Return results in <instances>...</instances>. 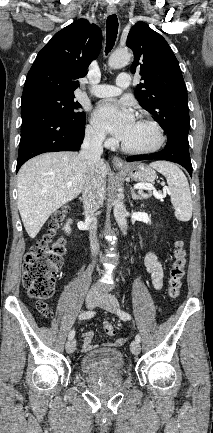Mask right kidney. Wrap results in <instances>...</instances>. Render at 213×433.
Instances as JSON below:
<instances>
[{"instance_id": "right-kidney-1", "label": "right kidney", "mask_w": 213, "mask_h": 433, "mask_svg": "<svg viewBox=\"0 0 213 433\" xmlns=\"http://www.w3.org/2000/svg\"><path fill=\"white\" fill-rule=\"evenodd\" d=\"M65 230L67 231V233H70V227H69V225H67L66 227H65Z\"/></svg>"}]
</instances>
